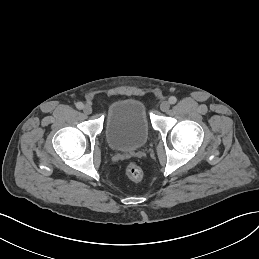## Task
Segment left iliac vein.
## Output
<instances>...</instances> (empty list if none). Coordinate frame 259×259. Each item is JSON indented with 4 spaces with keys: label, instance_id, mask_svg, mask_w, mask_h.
Here are the masks:
<instances>
[{
    "label": "left iliac vein",
    "instance_id": "4c4485c4",
    "mask_svg": "<svg viewBox=\"0 0 259 259\" xmlns=\"http://www.w3.org/2000/svg\"><path fill=\"white\" fill-rule=\"evenodd\" d=\"M169 108H170V104H169V102H167V101H163V102L160 104V110L163 111V112L168 111Z\"/></svg>",
    "mask_w": 259,
    "mask_h": 259
}]
</instances>
